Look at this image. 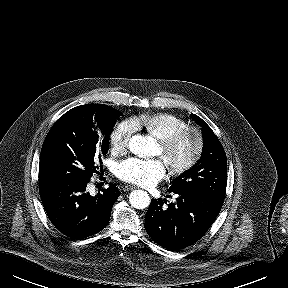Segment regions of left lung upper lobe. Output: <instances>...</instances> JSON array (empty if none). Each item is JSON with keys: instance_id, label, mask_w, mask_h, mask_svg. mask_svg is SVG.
Here are the masks:
<instances>
[{"instance_id": "left-lung-upper-lobe-1", "label": "left lung upper lobe", "mask_w": 288, "mask_h": 288, "mask_svg": "<svg viewBox=\"0 0 288 288\" xmlns=\"http://www.w3.org/2000/svg\"><path fill=\"white\" fill-rule=\"evenodd\" d=\"M202 126L203 151L200 160L172 181L168 192L206 196L223 204L227 185V159L212 129L199 116L191 114Z\"/></svg>"}]
</instances>
